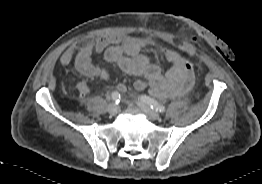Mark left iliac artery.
<instances>
[{
    "mask_svg": "<svg viewBox=\"0 0 262 184\" xmlns=\"http://www.w3.org/2000/svg\"><path fill=\"white\" fill-rule=\"evenodd\" d=\"M141 100L148 104L152 109L159 111L161 113L165 112V107L161 104H159L156 100L149 96H141Z\"/></svg>",
    "mask_w": 262,
    "mask_h": 184,
    "instance_id": "1",
    "label": "left iliac artery"
}]
</instances>
